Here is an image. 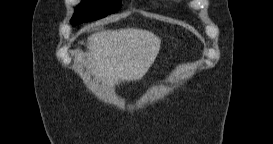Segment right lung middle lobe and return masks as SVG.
<instances>
[{
  "mask_svg": "<svg viewBox=\"0 0 273 144\" xmlns=\"http://www.w3.org/2000/svg\"><path fill=\"white\" fill-rule=\"evenodd\" d=\"M121 7L120 0H82L77 6L71 24H81L115 13Z\"/></svg>",
  "mask_w": 273,
  "mask_h": 144,
  "instance_id": "obj_1",
  "label": "right lung middle lobe"
}]
</instances>
